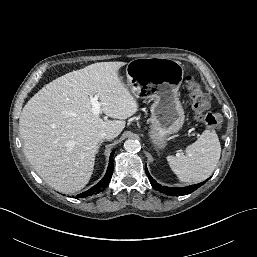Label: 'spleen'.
Listing matches in <instances>:
<instances>
[{
  "label": "spleen",
  "instance_id": "3e777b00",
  "mask_svg": "<svg viewBox=\"0 0 257 257\" xmlns=\"http://www.w3.org/2000/svg\"><path fill=\"white\" fill-rule=\"evenodd\" d=\"M221 145L215 131L205 130L184 152L167 156L171 170L180 181L191 183L207 179L219 162Z\"/></svg>",
  "mask_w": 257,
  "mask_h": 257
}]
</instances>
